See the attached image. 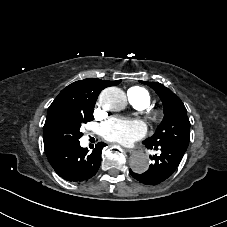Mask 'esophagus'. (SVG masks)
Masks as SVG:
<instances>
[{"label":"esophagus","instance_id":"1","mask_svg":"<svg viewBox=\"0 0 227 227\" xmlns=\"http://www.w3.org/2000/svg\"><path fill=\"white\" fill-rule=\"evenodd\" d=\"M145 152H146L145 146H135L130 148L129 154L131 156H134L136 153H145Z\"/></svg>","mask_w":227,"mask_h":227}]
</instances>
